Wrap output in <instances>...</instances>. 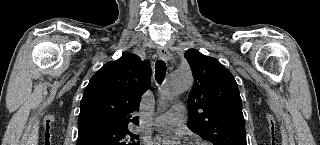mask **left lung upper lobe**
<instances>
[{"label": "left lung upper lobe", "mask_w": 320, "mask_h": 145, "mask_svg": "<svg viewBox=\"0 0 320 145\" xmlns=\"http://www.w3.org/2000/svg\"><path fill=\"white\" fill-rule=\"evenodd\" d=\"M194 77L187 126L213 145H247L242 100L233 75L196 49L184 54Z\"/></svg>", "instance_id": "obj_1"}]
</instances>
